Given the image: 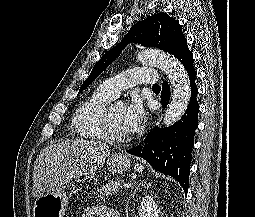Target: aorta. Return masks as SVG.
<instances>
[{
  "label": "aorta",
  "mask_w": 255,
  "mask_h": 217,
  "mask_svg": "<svg viewBox=\"0 0 255 217\" xmlns=\"http://www.w3.org/2000/svg\"><path fill=\"white\" fill-rule=\"evenodd\" d=\"M138 58L143 64L160 68L168 77L173 94L165 111L163 124L167 127L173 125L181 119L190 101L191 88L187 72L177 59L159 50H143Z\"/></svg>",
  "instance_id": "1"
}]
</instances>
